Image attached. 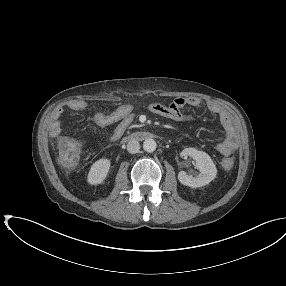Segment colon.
I'll return each instance as SVG.
<instances>
[{
	"mask_svg": "<svg viewBox=\"0 0 286 286\" xmlns=\"http://www.w3.org/2000/svg\"><path fill=\"white\" fill-rule=\"evenodd\" d=\"M58 157L60 163L68 169L74 168L80 158V145L77 141L62 137L58 141ZM234 164L232 158H226L223 160V167L225 169H231Z\"/></svg>",
	"mask_w": 286,
	"mask_h": 286,
	"instance_id": "1",
	"label": "colon"
}]
</instances>
